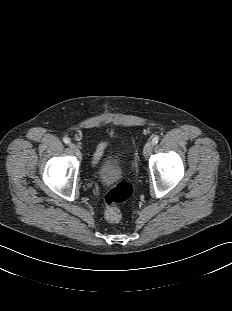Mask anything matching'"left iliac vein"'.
<instances>
[{"instance_id":"1","label":"left iliac vein","mask_w":232,"mask_h":311,"mask_svg":"<svg viewBox=\"0 0 232 311\" xmlns=\"http://www.w3.org/2000/svg\"><path fill=\"white\" fill-rule=\"evenodd\" d=\"M153 143L152 142H147L144 146V150H143V153H144V156L147 157L150 155V153L152 152V149H153Z\"/></svg>"}]
</instances>
